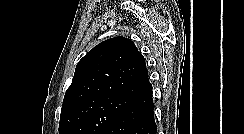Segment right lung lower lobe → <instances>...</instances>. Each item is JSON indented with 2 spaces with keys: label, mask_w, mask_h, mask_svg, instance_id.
<instances>
[{
  "label": "right lung lower lobe",
  "mask_w": 244,
  "mask_h": 134,
  "mask_svg": "<svg viewBox=\"0 0 244 134\" xmlns=\"http://www.w3.org/2000/svg\"><path fill=\"white\" fill-rule=\"evenodd\" d=\"M152 91L134 98L102 134H156Z\"/></svg>",
  "instance_id": "right-lung-lower-lobe-1"
}]
</instances>
